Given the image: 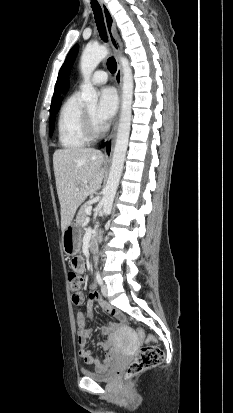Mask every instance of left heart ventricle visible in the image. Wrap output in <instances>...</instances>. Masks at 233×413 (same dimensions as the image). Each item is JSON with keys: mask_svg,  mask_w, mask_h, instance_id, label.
Returning <instances> with one entry per match:
<instances>
[{"mask_svg": "<svg viewBox=\"0 0 233 413\" xmlns=\"http://www.w3.org/2000/svg\"><path fill=\"white\" fill-rule=\"evenodd\" d=\"M87 110L91 114V116L96 120L97 106L96 105L89 106V107H87Z\"/></svg>", "mask_w": 233, "mask_h": 413, "instance_id": "b2bd125f", "label": "left heart ventricle"}]
</instances>
